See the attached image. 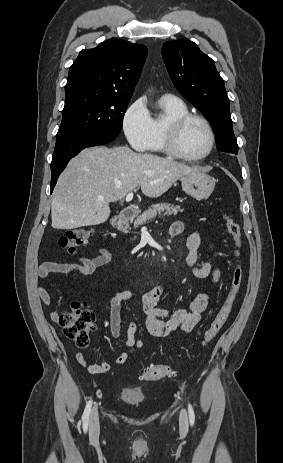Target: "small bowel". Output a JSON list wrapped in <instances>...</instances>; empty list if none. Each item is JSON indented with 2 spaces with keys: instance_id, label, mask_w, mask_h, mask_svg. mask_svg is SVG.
Wrapping results in <instances>:
<instances>
[{
  "instance_id": "c3829d8e",
  "label": "small bowel",
  "mask_w": 283,
  "mask_h": 463,
  "mask_svg": "<svg viewBox=\"0 0 283 463\" xmlns=\"http://www.w3.org/2000/svg\"><path fill=\"white\" fill-rule=\"evenodd\" d=\"M185 230V225L181 221H175L170 227L171 236H179ZM201 244V237L197 231L189 234L186 240L188 253L185 261L186 265L191 271L193 277L197 279H209L214 286L220 280V270L214 266L210 259L202 264H198V250ZM111 260V253L105 249H99V254L95 257L86 258L80 257L74 263H59V262H45L38 269V277L41 280L46 279L49 275L54 273H73L78 275H90L98 267L106 265ZM39 296L44 304H51V296L47 288L43 285L39 287ZM164 293L162 286L158 285L143 294L141 304L146 316L145 326L148 333L155 337H166L176 331L182 333L191 332L198 324L201 316L205 312L209 299V292H202L197 294L194 298L188 301L186 308L168 310L159 307V301ZM135 295L130 290H117L109 298L110 317L109 329L114 338L121 336V304L124 301L134 299ZM54 320H58L59 314L53 312L51 314ZM137 325L130 323L127 328L126 347L142 348L144 341L142 338H136ZM129 356L128 351L122 352L116 357L115 364H123ZM78 363L86 369L89 373L100 374L110 370L111 364L108 362L91 363L87 356L79 352L76 354Z\"/></svg>"
}]
</instances>
